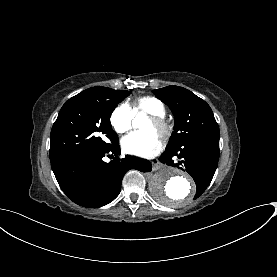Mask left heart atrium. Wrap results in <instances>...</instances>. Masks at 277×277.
<instances>
[{"mask_svg": "<svg viewBox=\"0 0 277 277\" xmlns=\"http://www.w3.org/2000/svg\"><path fill=\"white\" fill-rule=\"evenodd\" d=\"M121 146L125 152L151 157L162 147V141L155 132L130 133L121 140Z\"/></svg>", "mask_w": 277, "mask_h": 277, "instance_id": "1", "label": "left heart atrium"}]
</instances>
